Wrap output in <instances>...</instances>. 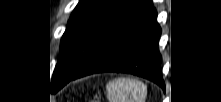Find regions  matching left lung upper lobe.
I'll return each instance as SVG.
<instances>
[{"instance_id":"obj_1","label":"left lung upper lobe","mask_w":221,"mask_h":102,"mask_svg":"<svg viewBox=\"0 0 221 102\" xmlns=\"http://www.w3.org/2000/svg\"><path fill=\"white\" fill-rule=\"evenodd\" d=\"M138 1H79L61 40V58L51 83L54 91L70 80Z\"/></svg>"}]
</instances>
